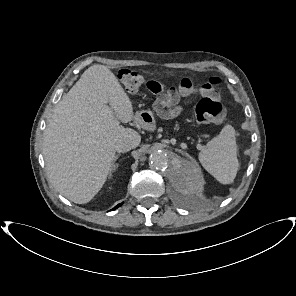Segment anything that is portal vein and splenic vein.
I'll return each instance as SVG.
<instances>
[{
    "label": "portal vein and splenic vein",
    "instance_id": "18ae733b",
    "mask_svg": "<svg viewBox=\"0 0 296 296\" xmlns=\"http://www.w3.org/2000/svg\"><path fill=\"white\" fill-rule=\"evenodd\" d=\"M116 124H119V121L118 120H115Z\"/></svg>",
    "mask_w": 296,
    "mask_h": 296
}]
</instances>
